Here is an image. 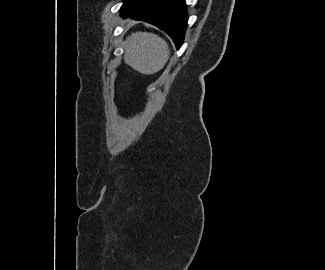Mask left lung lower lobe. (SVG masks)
Wrapping results in <instances>:
<instances>
[{"label":"left lung lower lobe","instance_id":"left-lung-lower-lobe-1","mask_svg":"<svg viewBox=\"0 0 325 270\" xmlns=\"http://www.w3.org/2000/svg\"><path fill=\"white\" fill-rule=\"evenodd\" d=\"M121 16L155 25L165 31L179 49L183 44L188 14L185 0H124Z\"/></svg>","mask_w":325,"mask_h":270}]
</instances>
